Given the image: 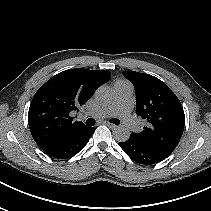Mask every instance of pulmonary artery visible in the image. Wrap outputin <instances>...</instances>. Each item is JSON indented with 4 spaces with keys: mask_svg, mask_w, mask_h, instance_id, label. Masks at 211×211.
<instances>
[{
    "mask_svg": "<svg viewBox=\"0 0 211 211\" xmlns=\"http://www.w3.org/2000/svg\"><path fill=\"white\" fill-rule=\"evenodd\" d=\"M114 98L112 102L101 106L95 112L86 114L94 118H106L116 116L124 125L132 130L137 129L138 125L134 120L132 109L133 86L126 81H118L113 86Z\"/></svg>",
    "mask_w": 211,
    "mask_h": 211,
    "instance_id": "pulmonary-artery-1",
    "label": "pulmonary artery"
}]
</instances>
